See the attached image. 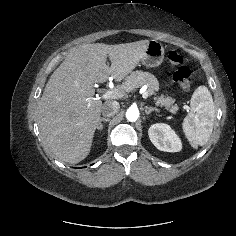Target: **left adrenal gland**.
<instances>
[{
  "label": "left adrenal gland",
  "instance_id": "1",
  "mask_svg": "<svg viewBox=\"0 0 236 236\" xmlns=\"http://www.w3.org/2000/svg\"><path fill=\"white\" fill-rule=\"evenodd\" d=\"M153 111L158 112V109L155 108V107H145V113H146L147 115H149V114H150L151 112H153Z\"/></svg>",
  "mask_w": 236,
  "mask_h": 236
}]
</instances>
